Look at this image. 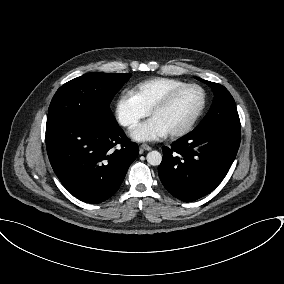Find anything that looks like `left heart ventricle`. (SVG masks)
Instances as JSON below:
<instances>
[{"label":"left heart ventricle","instance_id":"obj_1","mask_svg":"<svg viewBox=\"0 0 284 284\" xmlns=\"http://www.w3.org/2000/svg\"><path fill=\"white\" fill-rule=\"evenodd\" d=\"M202 102V94L196 88L181 92L166 108L152 115L167 133L186 125L194 116Z\"/></svg>","mask_w":284,"mask_h":284}]
</instances>
